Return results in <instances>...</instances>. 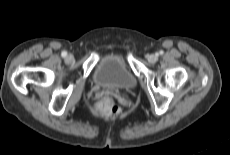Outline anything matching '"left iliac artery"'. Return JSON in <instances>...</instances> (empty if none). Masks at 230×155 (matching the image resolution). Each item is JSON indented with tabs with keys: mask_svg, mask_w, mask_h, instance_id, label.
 Segmentation results:
<instances>
[{
	"mask_svg": "<svg viewBox=\"0 0 230 155\" xmlns=\"http://www.w3.org/2000/svg\"><path fill=\"white\" fill-rule=\"evenodd\" d=\"M159 54L162 55V54H163V51H160Z\"/></svg>",
	"mask_w": 230,
	"mask_h": 155,
	"instance_id": "1",
	"label": "left iliac artery"
}]
</instances>
